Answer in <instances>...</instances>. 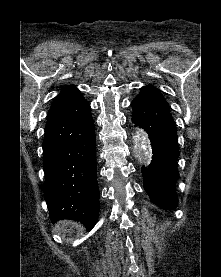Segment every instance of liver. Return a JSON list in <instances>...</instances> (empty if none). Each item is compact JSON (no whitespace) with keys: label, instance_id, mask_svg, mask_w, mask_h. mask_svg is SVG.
<instances>
[{"label":"liver","instance_id":"liver-1","mask_svg":"<svg viewBox=\"0 0 221 277\" xmlns=\"http://www.w3.org/2000/svg\"><path fill=\"white\" fill-rule=\"evenodd\" d=\"M71 224V222L69 221H66V222H62V223H59L57 225V229L59 231H67V227Z\"/></svg>","mask_w":221,"mask_h":277}]
</instances>
